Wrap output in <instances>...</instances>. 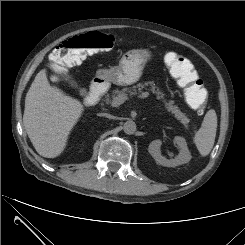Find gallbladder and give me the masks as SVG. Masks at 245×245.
Listing matches in <instances>:
<instances>
[{"label": "gallbladder", "instance_id": "bac80fb5", "mask_svg": "<svg viewBox=\"0 0 245 245\" xmlns=\"http://www.w3.org/2000/svg\"><path fill=\"white\" fill-rule=\"evenodd\" d=\"M58 77H60L62 80L66 81L67 83H69L72 87H75L77 88L78 85L76 83V81L72 78V76L68 73H65V72H60L57 74ZM81 93L82 92V89L80 90Z\"/></svg>", "mask_w": 245, "mask_h": 245}]
</instances>
